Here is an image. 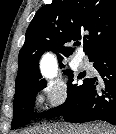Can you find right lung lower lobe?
Returning <instances> with one entry per match:
<instances>
[{"instance_id": "obj_1", "label": "right lung lower lobe", "mask_w": 116, "mask_h": 134, "mask_svg": "<svg viewBox=\"0 0 116 134\" xmlns=\"http://www.w3.org/2000/svg\"><path fill=\"white\" fill-rule=\"evenodd\" d=\"M90 61L102 79L90 78L79 98L51 117L62 116L74 123L103 120L116 125V42L95 53Z\"/></svg>"}]
</instances>
